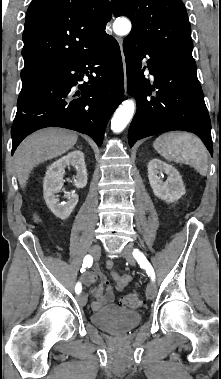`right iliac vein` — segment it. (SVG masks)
Returning <instances> with one entry per match:
<instances>
[{
    "label": "right iliac vein",
    "instance_id": "1",
    "mask_svg": "<svg viewBox=\"0 0 221 379\" xmlns=\"http://www.w3.org/2000/svg\"><path fill=\"white\" fill-rule=\"evenodd\" d=\"M100 252H101V248L98 244H95L90 248V253L95 258L100 255ZM77 300H78L79 304H81V305H85L87 303V297L84 293L79 294L77 297Z\"/></svg>",
    "mask_w": 221,
    "mask_h": 379
}]
</instances>
